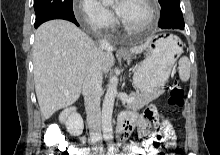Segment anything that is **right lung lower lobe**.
Masks as SVG:
<instances>
[{
	"label": "right lung lower lobe",
	"mask_w": 220,
	"mask_h": 155,
	"mask_svg": "<svg viewBox=\"0 0 220 155\" xmlns=\"http://www.w3.org/2000/svg\"><path fill=\"white\" fill-rule=\"evenodd\" d=\"M52 19H65V20L71 21V22L75 23L77 26H79L74 15H68L66 13H61V12L53 13V14L47 15L39 20H36L34 26H35V28H38L42 23H44L48 20H52Z\"/></svg>",
	"instance_id": "right-lung-lower-lobe-1"
}]
</instances>
